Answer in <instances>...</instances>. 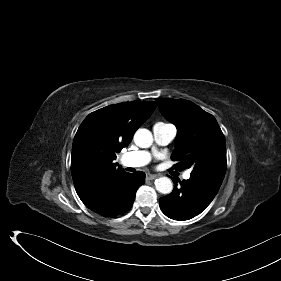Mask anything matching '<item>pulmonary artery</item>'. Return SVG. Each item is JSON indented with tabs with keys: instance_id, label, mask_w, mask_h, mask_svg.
I'll list each match as a JSON object with an SVG mask.
<instances>
[{
	"instance_id": "1",
	"label": "pulmonary artery",
	"mask_w": 281,
	"mask_h": 281,
	"mask_svg": "<svg viewBox=\"0 0 281 281\" xmlns=\"http://www.w3.org/2000/svg\"><path fill=\"white\" fill-rule=\"evenodd\" d=\"M176 128L172 124L157 123L153 126L154 141L159 146H166L176 136ZM151 154L148 151L130 152L122 156V163L128 167H141L148 164ZM184 179L190 178V171L183 174Z\"/></svg>"
}]
</instances>
